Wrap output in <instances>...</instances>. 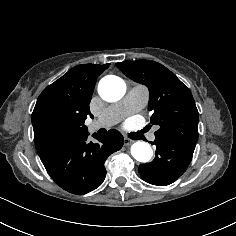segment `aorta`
<instances>
[{"label":"aorta","instance_id":"1","mask_svg":"<svg viewBox=\"0 0 236 236\" xmlns=\"http://www.w3.org/2000/svg\"><path fill=\"white\" fill-rule=\"evenodd\" d=\"M126 92L125 82L118 76L108 75L98 85V93L107 102L120 100ZM131 155L139 162H149L153 155L151 146L146 142H136L131 146Z\"/></svg>","mask_w":236,"mask_h":236}]
</instances>
